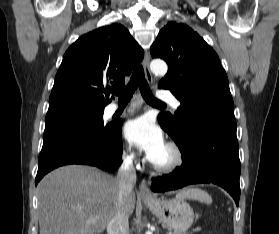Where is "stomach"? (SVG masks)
Instances as JSON below:
<instances>
[{
    "instance_id": "stomach-1",
    "label": "stomach",
    "mask_w": 279,
    "mask_h": 234,
    "mask_svg": "<svg viewBox=\"0 0 279 234\" xmlns=\"http://www.w3.org/2000/svg\"><path fill=\"white\" fill-rule=\"evenodd\" d=\"M146 207L167 227L182 234L192 225L193 209L183 199L144 201Z\"/></svg>"
}]
</instances>
